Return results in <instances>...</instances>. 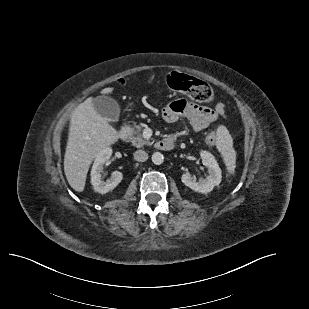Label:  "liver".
<instances>
[{"mask_svg":"<svg viewBox=\"0 0 309 309\" xmlns=\"http://www.w3.org/2000/svg\"><path fill=\"white\" fill-rule=\"evenodd\" d=\"M114 88H104L110 94ZM88 98L71 115L69 137L64 156V172L70 186L77 192L85 188L89 167L95 157L118 141L117 131L102 117Z\"/></svg>","mask_w":309,"mask_h":309,"instance_id":"6515ba94","label":"liver"}]
</instances>
